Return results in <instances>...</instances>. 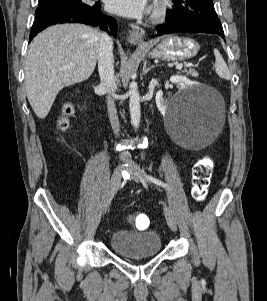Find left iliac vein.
<instances>
[{"mask_svg": "<svg viewBox=\"0 0 267 301\" xmlns=\"http://www.w3.org/2000/svg\"><path fill=\"white\" fill-rule=\"evenodd\" d=\"M131 176H132V179L135 182H139L143 185L149 184V181L146 178V176L144 174L139 173L135 168H133L131 170ZM163 207H164V215H165V218H166V221H167V224H168L169 228L173 232H176L177 231V224H176V221H175V219L172 215L170 207H168L166 204H163Z\"/></svg>", "mask_w": 267, "mask_h": 301, "instance_id": "left-iliac-vein-1", "label": "left iliac vein"}]
</instances>
